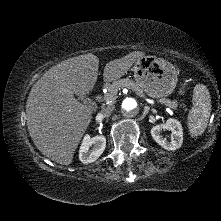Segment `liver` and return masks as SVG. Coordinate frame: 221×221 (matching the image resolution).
Wrapping results in <instances>:
<instances>
[{
    "label": "liver",
    "instance_id": "6515ba94",
    "mask_svg": "<svg viewBox=\"0 0 221 221\" xmlns=\"http://www.w3.org/2000/svg\"><path fill=\"white\" fill-rule=\"evenodd\" d=\"M145 54L141 51L110 61L105 82L122 77ZM99 58L92 54L69 58L50 68L33 85L26 103L29 134L47 158L70 165L92 119L91 109L74 96L88 94L98 78Z\"/></svg>",
    "mask_w": 221,
    "mask_h": 221
}]
</instances>
